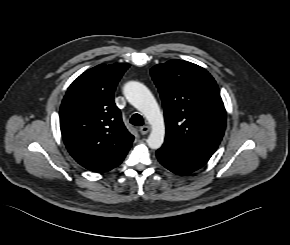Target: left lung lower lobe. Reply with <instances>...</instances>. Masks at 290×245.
I'll return each mask as SVG.
<instances>
[{
    "label": "left lung lower lobe",
    "mask_w": 290,
    "mask_h": 245,
    "mask_svg": "<svg viewBox=\"0 0 290 245\" xmlns=\"http://www.w3.org/2000/svg\"><path fill=\"white\" fill-rule=\"evenodd\" d=\"M159 162L178 175H186L201 168L208 159L197 157L165 144L156 151Z\"/></svg>",
    "instance_id": "1"
}]
</instances>
